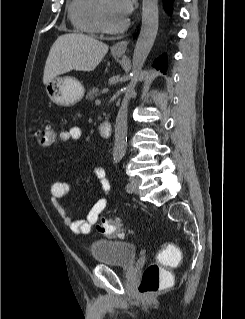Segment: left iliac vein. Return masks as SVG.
<instances>
[{"label":"left iliac vein","instance_id":"obj_1","mask_svg":"<svg viewBox=\"0 0 245 319\" xmlns=\"http://www.w3.org/2000/svg\"><path fill=\"white\" fill-rule=\"evenodd\" d=\"M129 184H130V186H131L129 192L138 193V187H139V181H138V179H136V178H131Z\"/></svg>","mask_w":245,"mask_h":319}]
</instances>
